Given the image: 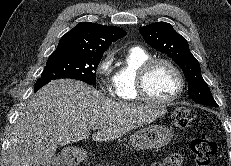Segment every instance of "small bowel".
I'll return each instance as SVG.
<instances>
[{
  "mask_svg": "<svg viewBox=\"0 0 231 166\" xmlns=\"http://www.w3.org/2000/svg\"><path fill=\"white\" fill-rule=\"evenodd\" d=\"M151 166H159V164H153V165H151Z\"/></svg>",
  "mask_w": 231,
  "mask_h": 166,
  "instance_id": "small-bowel-1",
  "label": "small bowel"
}]
</instances>
